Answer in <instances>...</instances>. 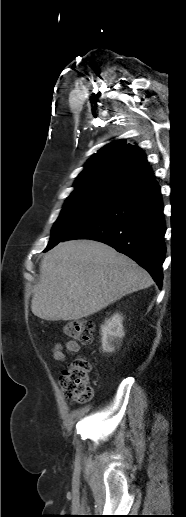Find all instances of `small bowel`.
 I'll return each mask as SVG.
<instances>
[{
  "instance_id": "c3829d8e",
  "label": "small bowel",
  "mask_w": 186,
  "mask_h": 517,
  "mask_svg": "<svg viewBox=\"0 0 186 517\" xmlns=\"http://www.w3.org/2000/svg\"><path fill=\"white\" fill-rule=\"evenodd\" d=\"M79 350L80 345L76 341H67L65 344L57 343L51 351V356L57 363H63L67 361L69 355H75Z\"/></svg>"
}]
</instances>
